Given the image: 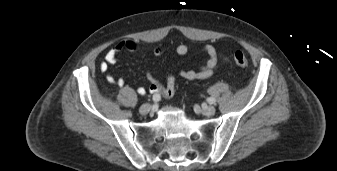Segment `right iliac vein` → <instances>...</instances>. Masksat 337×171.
Here are the masks:
<instances>
[{
	"label": "right iliac vein",
	"mask_w": 337,
	"mask_h": 171,
	"mask_svg": "<svg viewBox=\"0 0 337 171\" xmlns=\"http://www.w3.org/2000/svg\"><path fill=\"white\" fill-rule=\"evenodd\" d=\"M151 105L150 104H143L140 109L139 112L141 115H146L151 111Z\"/></svg>",
	"instance_id": "right-iliac-vein-1"
}]
</instances>
